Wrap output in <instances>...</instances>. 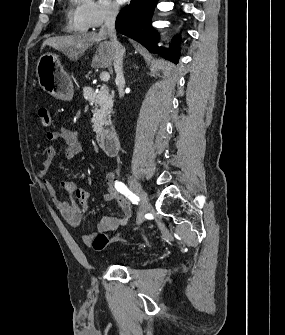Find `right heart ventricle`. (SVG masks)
Wrapping results in <instances>:
<instances>
[{"instance_id":"obj_1","label":"right heart ventricle","mask_w":285,"mask_h":335,"mask_svg":"<svg viewBox=\"0 0 285 335\" xmlns=\"http://www.w3.org/2000/svg\"><path fill=\"white\" fill-rule=\"evenodd\" d=\"M81 26H82V27H86V26H88V25L86 24V22H84V23L81 24Z\"/></svg>"}]
</instances>
